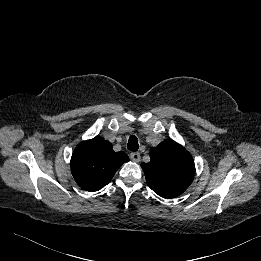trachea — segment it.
I'll return each instance as SVG.
<instances>
[{"instance_id":"1","label":"trachea","mask_w":261,"mask_h":261,"mask_svg":"<svg viewBox=\"0 0 261 261\" xmlns=\"http://www.w3.org/2000/svg\"><path fill=\"white\" fill-rule=\"evenodd\" d=\"M138 139L135 135H131L128 140V149L130 151H137L138 150Z\"/></svg>"}]
</instances>
